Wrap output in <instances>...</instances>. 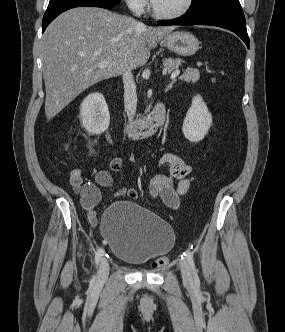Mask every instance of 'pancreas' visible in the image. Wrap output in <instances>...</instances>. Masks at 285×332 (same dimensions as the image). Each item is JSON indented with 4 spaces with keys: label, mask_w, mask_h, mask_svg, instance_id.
<instances>
[{
    "label": "pancreas",
    "mask_w": 285,
    "mask_h": 332,
    "mask_svg": "<svg viewBox=\"0 0 285 332\" xmlns=\"http://www.w3.org/2000/svg\"><path fill=\"white\" fill-rule=\"evenodd\" d=\"M180 65L181 61L179 59L168 58L163 60V66L168 72L177 69ZM199 78V71L190 68L186 69L183 75L179 77L180 80L192 83H195Z\"/></svg>",
    "instance_id": "cf45deb5"
}]
</instances>
